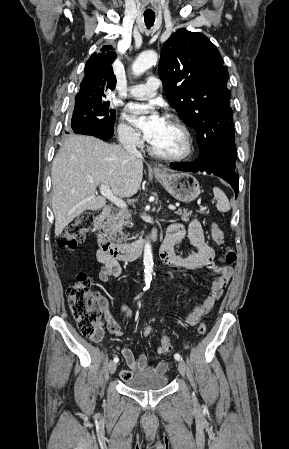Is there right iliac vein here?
Listing matches in <instances>:
<instances>
[{
	"label": "right iliac vein",
	"instance_id": "63e3f726",
	"mask_svg": "<svg viewBox=\"0 0 289 449\" xmlns=\"http://www.w3.org/2000/svg\"><path fill=\"white\" fill-rule=\"evenodd\" d=\"M117 368V364L115 362H110L108 366V370L111 374H114Z\"/></svg>",
	"mask_w": 289,
	"mask_h": 449
}]
</instances>
